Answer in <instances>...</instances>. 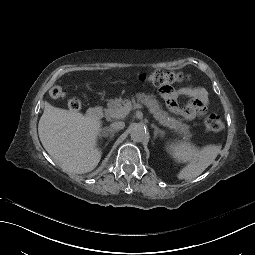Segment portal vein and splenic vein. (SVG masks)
<instances>
[{
    "instance_id": "1",
    "label": "portal vein and splenic vein",
    "mask_w": 255,
    "mask_h": 255,
    "mask_svg": "<svg viewBox=\"0 0 255 255\" xmlns=\"http://www.w3.org/2000/svg\"><path fill=\"white\" fill-rule=\"evenodd\" d=\"M132 108H135L136 110H141L143 108V105L141 103H127L123 106V113L126 116Z\"/></svg>"
}]
</instances>
